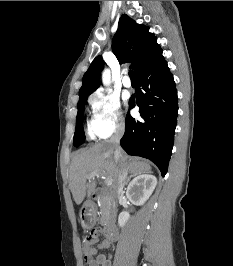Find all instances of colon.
Listing matches in <instances>:
<instances>
[{
	"label": "colon",
	"mask_w": 233,
	"mask_h": 266,
	"mask_svg": "<svg viewBox=\"0 0 233 266\" xmlns=\"http://www.w3.org/2000/svg\"><path fill=\"white\" fill-rule=\"evenodd\" d=\"M100 234L101 232L99 230H93L87 235L85 241L94 244L99 240Z\"/></svg>",
	"instance_id": "5ec220e1"
}]
</instances>
